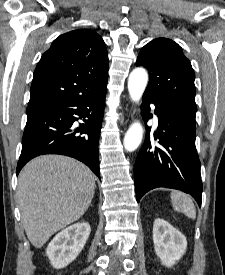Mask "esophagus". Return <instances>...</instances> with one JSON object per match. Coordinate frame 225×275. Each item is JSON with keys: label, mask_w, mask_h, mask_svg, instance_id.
I'll list each match as a JSON object with an SVG mask.
<instances>
[{"label": "esophagus", "mask_w": 225, "mask_h": 275, "mask_svg": "<svg viewBox=\"0 0 225 275\" xmlns=\"http://www.w3.org/2000/svg\"><path fill=\"white\" fill-rule=\"evenodd\" d=\"M131 114H132V116H133V114H134V110H132V113H131Z\"/></svg>", "instance_id": "1"}]
</instances>
